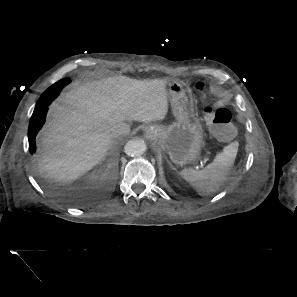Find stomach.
<instances>
[{
	"label": "stomach",
	"instance_id": "stomach-1",
	"mask_svg": "<svg viewBox=\"0 0 297 297\" xmlns=\"http://www.w3.org/2000/svg\"><path fill=\"white\" fill-rule=\"evenodd\" d=\"M167 94L176 121L167 127H148V132L174 164L183 166L200 156L203 128L193 112L191 90L184 82L170 81Z\"/></svg>",
	"mask_w": 297,
	"mask_h": 297
}]
</instances>
